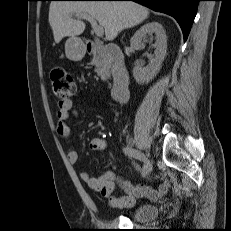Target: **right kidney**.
<instances>
[{
  "instance_id": "1",
  "label": "right kidney",
  "mask_w": 231,
  "mask_h": 231,
  "mask_svg": "<svg viewBox=\"0 0 231 231\" xmlns=\"http://www.w3.org/2000/svg\"><path fill=\"white\" fill-rule=\"evenodd\" d=\"M155 34V43L152 45L155 48L154 55H150L149 65L141 68L136 66L133 69V76L138 84L148 83L159 72L162 62L166 56L167 36L163 26L158 22H150L143 25L135 32L130 40L131 47L141 49L146 42V35Z\"/></svg>"
}]
</instances>
